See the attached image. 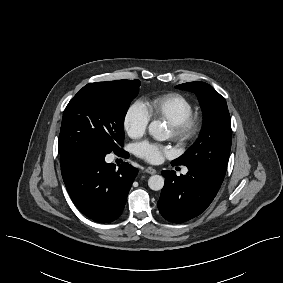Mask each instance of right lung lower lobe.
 <instances>
[{"label": "right lung lower lobe", "mask_w": 283, "mask_h": 283, "mask_svg": "<svg viewBox=\"0 0 283 283\" xmlns=\"http://www.w3.org/2000/svg\"><path fill=\"white\" fill-rule=\"evenodd\" d=\"M107 153L84 151L61 165L67 191L77 208L90 219L107 223L117 219L138 170L123 162L119 168L106 163ZM119 156L128 158L121 150Z\"/></svg>", "instance_id": "1"}]
</instances>
